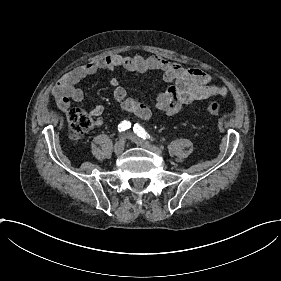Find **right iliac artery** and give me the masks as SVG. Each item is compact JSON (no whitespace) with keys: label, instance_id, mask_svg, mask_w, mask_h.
<instances>
[{"label":"right iliac artery","instance_id":"1","mask_svg":"<svg viewBox=\"0 0 281 281\" xmlns=\"http://www.w3.org/2000/svg\"><path fill=\"white\" fill-rule=\"evenodd\" d=\"M131 127V123L129 121L124 120L121 124L118 125V130L125 131Z\"/></svg>","mask_w":281,"mask_h":281}]
</instances>
